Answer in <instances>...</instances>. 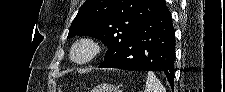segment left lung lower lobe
<instances>
[{"instance_id":"0a47b994","label":"left lung lower lobe","mask_w":225,"mask_h":92,"mask_svg":"<svg viewBox=\"0 0 225 92\" xmlns=\"http://www.w3.org/2000/svg\"><path fill=\"white\" fill-rule=\"evenodd\" d=\"M175 31L165 5L99 68L161 71L174 87Z\"/></svg>"}]
</instances>
